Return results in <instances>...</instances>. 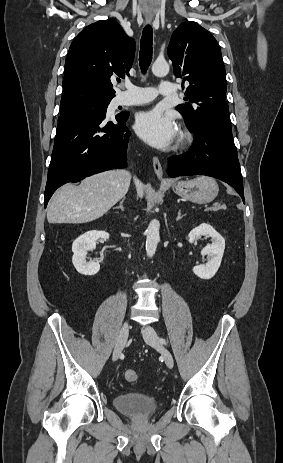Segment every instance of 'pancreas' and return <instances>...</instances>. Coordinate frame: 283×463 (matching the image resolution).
I'll return each instance as SVG.
<instances>
[{
	"label": "pancreas",
	"mask_w": 283,
	"mask_h": 463,
	"mask_svg": "<svg viewBox=\"0 0 283 463\" xmlns=\"http://www.w3.org/2000/svg\"><path fill=\"white\" fill-rule=\"evenodd\" d=\"M220 208H222V207L216 206V207H214V208H211L210 210L216 211V210H218V209H220Z\"/></svg>",
	"instance_id": "obj_1"
}]
</instances>
